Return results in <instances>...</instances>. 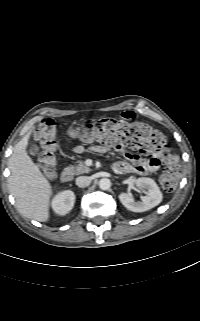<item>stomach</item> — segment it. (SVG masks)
Masks as SVG:
<instances>
[{
    "instance_id": "obj_1",
    "label": "stomach",
    "mask_w": 200,
    "mask_h": 321,
    "mask_svg": "<svg viewBox=\"0 0 200 321\" xmlns=\"http://www.w3.org/2000/svg\"><path fill=\"white\" fill-rule=\"evenodd\" d=\"M88 124L86 121H83L81 124H79L80 126Z\"/></svg>"
}]
</instances>
